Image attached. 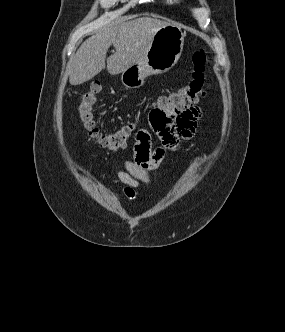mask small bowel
Returning a JSON list of instances; mask_svg holds the SVG:
<instances>
[{
  "mask_svg": "<svg viewBox=\"0 0 285 332\" xmlns=\"http://www.w3.org/2000/svg\"><path fill=\"white\" fill-rule=\"evenodd\" d=\"M200 116L197 107L180 114L174 109L170 111V107L151 106V111H147L148 126H151V133L160 137L163 145L154 149L150 132L146 129L137 132L133 159L125 160L123 169L117 170L119 180L126 186L128 198H134L135 189L152 182L150 171L158 166L165 149L175 148L181 139L191 138Z\"/></svg>",
  "mask_w": 285,
  "mask_h": 332,
  "instance_id": "small-bowel-1",
  "label": "small bowel"
}]
</instances>
